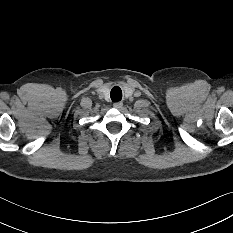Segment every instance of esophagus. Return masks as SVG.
<instances>
[{"mask_svg":"<svg viewBox=\"0 0 233 233\" xmlns=\"http://www.w3.org/2000/svg\"><path fill=\"white\" fill-rule=\"evenodd\" d=\"M113 107L116 109H121L123 107V103L122 102H116L113 104Z\"/></svg>","mask_w":233,"mask_h":233,"instance_id":"esophagus-1","label":"esophagus"}]
</instances>
